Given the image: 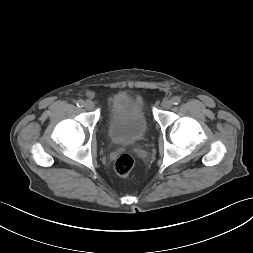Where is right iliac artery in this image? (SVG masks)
Instances as JSON below:
<instances>
[{"label": "right iliac artery", "instance_id": "1", "mask_svg": "<svg viewBox=\"0 0 253 253\" xmlns=\"http://www.w3.org/2000/svg\"><path fill=\"white\" fill-rule=\"evenodd\" d=\"M76 104H77L78 107H83L84 106V101L83 100H78Z\"/></svg>", "mask_w": 253, "mask_h": 253}]
</instances>
